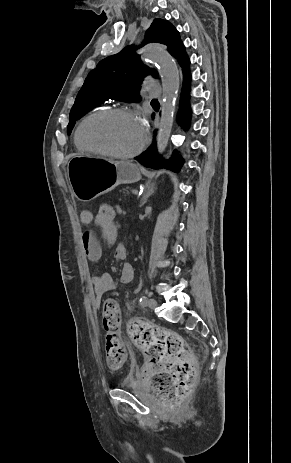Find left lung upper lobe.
I'll use <instances>...</instances> for the list:
<instances>
[{
	"label": "left lung upper lobe",
	"mask_w": 291,
	"mask_h": 463,
	"mask_svg": "<svg viewBox=\"0 0 291 463\" xmlns=\"http://www.w3.org/2000/svg\"><path fill=\"white\" fill-rule=\"evenodd\" d=\"M148 43L168 46V51L177 58L183 71L189 70L190 60L185 53L179 32L168 21H153L140 47ZM135 50L133 45L127 46L119 53L101 60L97 67L89 72L70 111L68 134L71 133L76 120L108 99L125 102L140 100L139 90L143 78L149 74L158 76V73L144 65Z\"/></svg>",
	"instance_id": "5c2ea615"
}]
</instances>
